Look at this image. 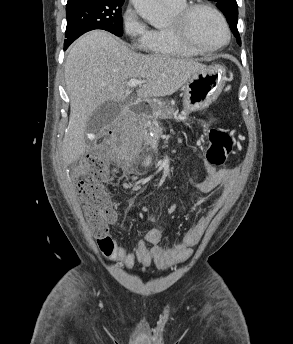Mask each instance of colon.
<instances>
[{"instance_id": "5ec220e1", "label": "colon", "mask_w": 293, "mask_h": 344, "mask_svg": "<svg viewBox=\"0 0 293 344\" xmlns=\"http://www.w3.org/2000/svg\"><path fill=\"white\" fill-rule=\"evenodd\" d=\"M206 161L211 166H222L232 150L231 136L222 130L211 129ZM87 174L78 184L85 216L93 235L102 237L117 219L111 198L103 182L113 176L108 161L100 154H92L86 160Z\"/></svg>"}]
</instances>
